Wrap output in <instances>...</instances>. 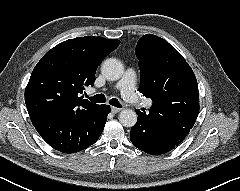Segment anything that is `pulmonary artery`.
Listing matches in <instances>:
<instances>
[{
    "instance_id": "1",
    "label": "pulmonary artery",
    "mask_w": 240,
    "mask_h": 191,
    "mask_svg": "<svg viewBox=\"0 0 240 191\" xmlns=\"http://www.w3.org/2000/svg\"><path fill=\"white\" fill-rule=\"evenodd\" d=\"M136 73L133 69H127L122 79L116 84V88L120 90L122 98L132 104L139 101L136 94ZM143 105L150 107L152 105L151 100H144Z\"/></svg>"
}]
</instances>
